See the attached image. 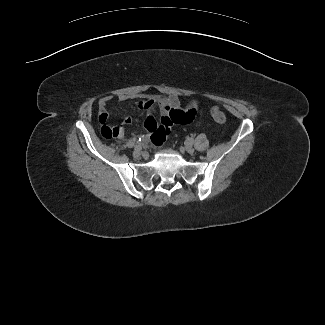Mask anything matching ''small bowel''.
Listing matches in <instances>:
<instances>
[{
	"instance_id": "obj_1",
	"label": "small bowel",
	"mask_w": 325,
	"mask_h": 325,
	"mask_svg": "<svg viewBox=\"0 0 325 325\" xmlns=\"http://www.w3.org/2000/svg\"><path fill=\"white\" fill-rule=\"evenodd\" d=\"M133 98H135V96L127 94H120L117 96V99L121 102ZM112 99V95H106L99 101L98 121L102 125L101 130L109 127L107 126L109 120L108 105ZM135 106L138 110L147 113V117L144 121V130L147 135L151 136L152 141L157 145L165 142L173 126L191 123L197 113L196 102L189 104L185 110H178L180 108V100L176 95H142L138 97ZM132 121L131 117H125L122 124L130 125ZM114 127L119 128V133L116 136L123 137V127Z\"/></svg>"
}]
</instances>
